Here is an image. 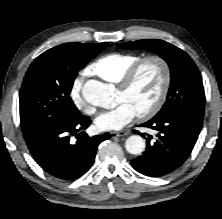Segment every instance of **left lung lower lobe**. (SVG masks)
Here are the masks:
<instances>
[{
  "mask_svg": "<svg viewBox=\"0 0 222 219\" xmlns=\"http://www.w3.org/2000/svg\"><path fill=\"white\" fill-rule=\"evenodd\" d=\"M202 123L203 117L189 112L173 111L141 124L140 126L157 130V139L151 144L152 137L148 136L146 151L131 161L132 167L139 173L152 177L174 171L190 155ZM140 134L144 137L143 133Z\"/></svg>",
  "mask_w": 222,
  "mask_h": 219,
  "instance_id": "left-lung-lower-lobe-1",
  "label": "left lung lower lobe"
}]
</instances>
